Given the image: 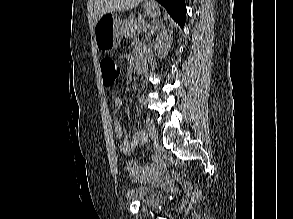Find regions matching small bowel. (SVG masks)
Listing matches in <instances>:
<instances>
[{"instance_id":"obj_1","label":"small bowel","mask_w":293,"mask_h":219,"mask_svg":"<svg viewBox=\"0 0 293 219\" xmlns=\"http://www.w3.org/2000/svg\"><path fill=\"white\" fill-rule=\"evenodd\" d=\"M114 106H115L114 114L116 115L123 106V101L121 97L119 96L115 97ZM114 130L118 138L123 137V131L117 118L114 119ZM145 138H147V136L144 131L142 130L136 131L134 135L132 136V138H124L122 140V142L120 143L121 152L125 155L131 154L136 149L137 146L143 143Z\"/></svg>"}]
</instances>
